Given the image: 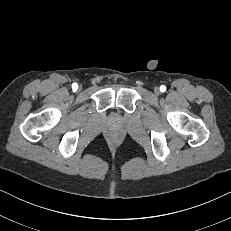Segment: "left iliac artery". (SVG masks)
Listing matches in <instances>:
<instances>
[{
	"label": "left iliac artery",
	"mask_w": 231,
	"mask_h": 231,
	"mask_svg": "<svg viewBox=\"0 0 231 231\" xmlns=\"http://www.w3.org/2000/svg\"><path fill=\"white\" fill-rule=\"evenodd\" d=\"M165 90H166V87H165L164 85H162V86L160 87V91H161V92H165Z\"/></svg>",
	"instance_id": "1"
}]
</instances>
